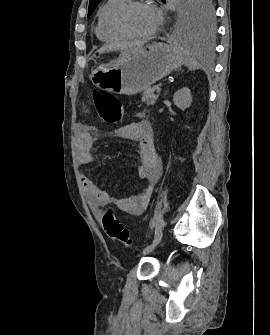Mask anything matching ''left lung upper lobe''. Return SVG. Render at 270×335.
I'll return each mask as SVG.
<instances>
[{
  "instance_id": "5c2ea615",
  "label": "left lung upper lobe",
  "mask_w": 270,
  "mask_h": 335,
  "mask_svg": "<svg viewBox=\"0 0 270 335\" xmlns=\"http://www.w3.org/2000/svg\"><path fill=\"white\" fill-rule=\"evenodd\" d=\"M101 0H90L88 16ZM165 2V0H162ZM184 18L187 26L199 33H211L214 29V9L211 0H185Z\"/></svg>"
}]
</instances>
